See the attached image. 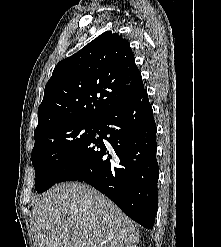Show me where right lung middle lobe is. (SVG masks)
I'll return each mask as SVG.
<instances>
[{
	"instance_id": "right-lung-middle-lobe-1",
	"label": "right lung middle lobe",
	"mask_w": 221,
	"mask_h": 247,
	"mask_svg": "<svg viewBox=\"0 0 221 247\" xmlns=\"http://www.w3.org/2000/svg\"><path fill=\"white\" fill-rule=\"evenodd\" d=\"M97 123L68 122L36 136L31 159L36 171L35 189L52 187L68 164L95 133Z\"/></svg>"
}]
</instances>
